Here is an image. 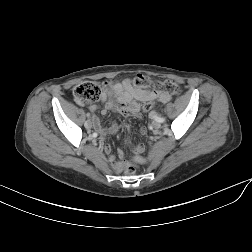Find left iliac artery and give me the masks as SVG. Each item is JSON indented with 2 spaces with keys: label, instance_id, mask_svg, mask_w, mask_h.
Listing matches in <instances>:
<instances>
[{
  "label": "left iliac artery",
  "instance_id": "1",
  "mask_svg": "<svg viewBox=\"0 0 252 252\" xmlns=\"http://www.w3.org/2000/svg\"><path fill=\"white\" fill-rule=\"evenodd\" d=\"M155 120L160 122V123H163V122H165L166 119L163 118V117H157V118H155Z\"/></svg>",
  "mask_w": 252,
  "mask_h": 252
}]
</instances>
